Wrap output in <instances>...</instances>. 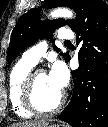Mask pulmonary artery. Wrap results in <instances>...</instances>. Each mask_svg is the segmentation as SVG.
Masks as SVG:
<instances>
[{
  "mask_svg": "<svg viewBox=\"0 0 108 127\" xmlns=\"http://www.w3.org/2000/svg\"><path fill=\"white\" fill-rule=\"evenodd\" d=\"M58 36L62 40L70 41V39H72L74 35L70 30L63 28L59 31ZM46 50L47 43L40 42L28 49L27 51H25L22 56V60L35 66L39 62L40 58L44 55Z\"/></svg>",
  "mask_w": 108,
  "mask_h": 127,
  "instance_id": "pulmonary-artery-1",
  "label": "pulmonary artery"
}]
</instances>
